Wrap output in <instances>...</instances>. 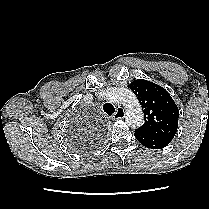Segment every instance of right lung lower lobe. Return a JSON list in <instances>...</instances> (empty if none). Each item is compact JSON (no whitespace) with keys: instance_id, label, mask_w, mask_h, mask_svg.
Instances as JSON below:
<instances>
[{"instance_id":"obj_1","label":"right lung lower lobe","mask_w":209,"mask_h":209,"mask_svg":"<svg viewBox=\"0 0 209 209\" xmlns=\"http://www.w3.org/2000/svg\"><path fill=\"white\" fill-rule=\"evenodd\" d=\"M96 144H97L96 142L90 144V146H86V145H84V144H81V145H79V148H80L81 150H85V149H88V148H90V147L96 146Z\"/></svg>"}]
</instances>
